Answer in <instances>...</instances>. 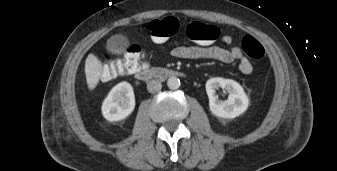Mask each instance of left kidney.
<instances>
[{"label": "left kidney", "instance_id": "1", "mask_svg": "<svg viewBox=\"0 0 337 171\" xmlns=\"http://www.w3.org/2000/svg\"><path fill=\"white\" fill-rule=\"evenodd\" d=\"M225 89L229 94L226 101L218 99L216 89ZM206 92L209 98V108L212 114L221 118H235L244 113L249 105V99L242 86L232 80L221 77L211 78L206 82Z\"/></svg>", "mask_w": 337, "mask_h": 171}]
</instances>
